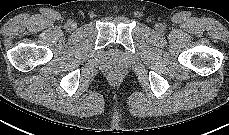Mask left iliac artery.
Segmentation results:
<instances>
[{"mask_svg": "<svg viewBox=\"0 0 229 135\" xmlns=\"http://www.w3.org/2000/svg\"><path fill=\"white\" fill-rule=\"evenodd\" d=\"M165 27H166V25H165V24H163V25H162V28L164 29Z\"/></svg>", "mask_w": 229, "mask_h": 135, "instance_id": "left-iliac-artery-1", "label": "left iliac artery"}]
</instances>
